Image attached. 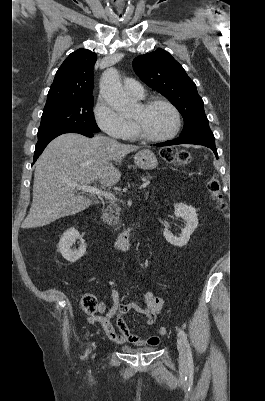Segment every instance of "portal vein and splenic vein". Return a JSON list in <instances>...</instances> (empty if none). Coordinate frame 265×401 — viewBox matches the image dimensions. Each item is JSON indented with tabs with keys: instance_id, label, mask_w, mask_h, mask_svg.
I'll use <instances>...</instances> for the list:
<instances>
[{
	"instance_id": "obj_1",
	"label": "portal vein and splenic vein",
	"mask_w": 265,
	"mask_h": 401,
	"mask_svg": "<svg viewBox=\"0 0 265 401\" xmlns=\"http://www.w3.org/2000/svg\"><path fill=\"white\" fill-rule=\"evenodd\" d=\"M150 180H145L142 185H139L138 190L141 188L146 189L147 184H149ZM78 190H85V192H92V194H103L105 198H115L112 192H107V190H99V188H95V186H85V184H74Z\"/></svg>"
}]
</instances>
